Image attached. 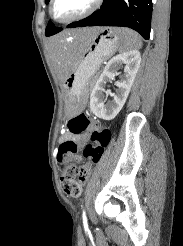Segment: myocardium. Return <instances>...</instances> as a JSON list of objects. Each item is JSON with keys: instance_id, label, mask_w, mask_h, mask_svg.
<instances>
[{"instance_id": "myocardium-1", "label": "myocardium", "mask_w": 183, "mask_h": 246, "mask_svg": "<svg viewBox=\"0 0 183 246\" xmlns=\"http://www.w3.org/2000/svg\"><path fill=\"white\" fill-rule=\"evenodd\" d=\"M54 2H55V0H50V3H49L48 11H49V15H50L51 19L53 21H55V22H58V23L67 24V23H71V22H74V21L81 20V19H83L85 17H88L89 15L94 13L100 7V5L102 4L103 0H93L91 5L85 11H83L82 13H80V14H78L76 16L67 18V19H63V20H59V19L55 18L54 14H53Z\"/></svg>"}]
</instances>
